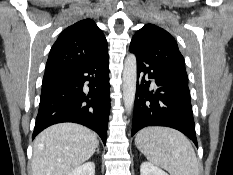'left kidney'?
Masks as SVG:
<instances>
[{
	"mask_svg": "<svg viewBox=\"0 0 233 175\" xmlns=\"http://www.w3.org/2000/svg\"><path fill=\"white\" fill-rule=\"evenodd\" d=\"M140 175H168L165 171L150 162H143L140 166Z\"/></svg>",
	"mask_w": 233,
	"mask_h": 175,
	"instance_id": "obj_1",
	"label": "left kidney"
}]
</instances>
